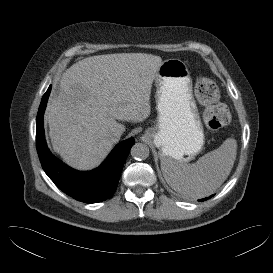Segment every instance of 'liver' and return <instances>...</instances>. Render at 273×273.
Wrapping results in <instances>:
<instances>
[{"label": "liver", "mask_w": 273, "mask_h": 273, "mask_svg": "<svg viewBox=\"0 0 273 273\" xmlns=\"http://www.w3.org/2000/svg\"><path fill=\"white\" fill-rule=\"evenodd\" d=\"M160 56L117 53L82 59L62 75L59 94L47 111L55 152L73 168L91 170L112 149V133L142 122L150 115L152 82Z\"/></svg>", "instance_id": "obj_1"}]
</instances>
